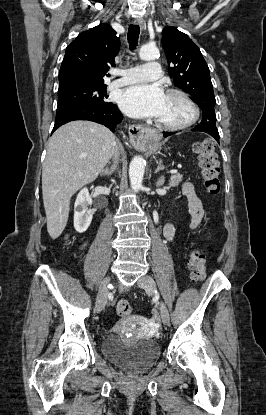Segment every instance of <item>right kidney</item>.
I'll return each mask as SVG.
<instances>
[{
	"mask_svg": "<svg viewBox=\"0 0 266 415\" xmlns=\"http://www.w3.org/2000/svg\"><path fill=\"white\" fill-rule=\"evenodd\" d=\"M92 199L87 188H83L77 195L74 205V228L78 233L85 232L92 221L93 214L88 208Z\"/></svg>",
	"mask_w": 266,
	"mask_h": 415,
	"instance_id": "obj_1",
	"label": "right kidney"
}]
</instances>
